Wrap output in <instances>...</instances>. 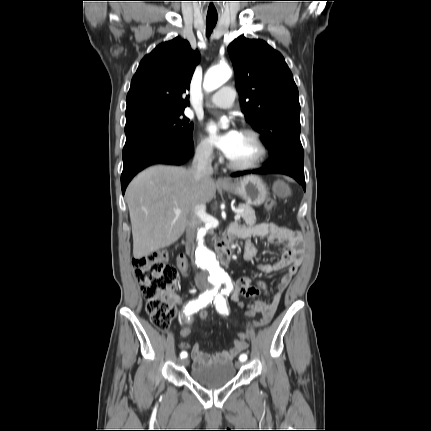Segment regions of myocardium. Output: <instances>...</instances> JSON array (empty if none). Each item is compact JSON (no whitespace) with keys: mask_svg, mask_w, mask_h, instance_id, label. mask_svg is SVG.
Here are the masks:
<instances>
[{"mask_svg":"<svg viewBox=\"0 0 431 431\" xmlns=\"http://www.w3.org/2000/svg\"><path fill=\"white\" fill-rule=\"evenodd\" d=\"M242 134L248 135L250 136L257 148H258V156L247 163H236L231 161L228 157L226 158L227 161V165L228 167H230L231 169L234 170H249V169H254L257 168L259 166H261L267 159L268 157V148L263 140V138L261 137V135L254 129L251 128H244L241 130Z\"/></svg>","mask_w":431,"mask_h":431,"instance_id":"f54148a6","label":"myocardium"}]
</instances>
